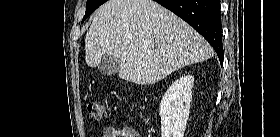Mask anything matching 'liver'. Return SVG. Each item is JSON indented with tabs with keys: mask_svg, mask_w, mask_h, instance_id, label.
Instances as JSON below:
<instances>
[{
	"mask_svg": "<svg viewBox=\"0 0 280 137\" xmlns=\"http://www.w3.org/2000/svg\"><path fill=\"white\" fill-rule=\"evenodd\" d=\"M105 54L120 62L119 77L149 85L214 54L190 25L153 0H109L95 13L85 37V60Z\"/></svg>",
	"mask_w": 280,
	"mask_h": 137,
	"instance_id": "liver-1",
	"label": "liver"
}]
</instances>
